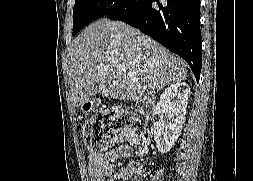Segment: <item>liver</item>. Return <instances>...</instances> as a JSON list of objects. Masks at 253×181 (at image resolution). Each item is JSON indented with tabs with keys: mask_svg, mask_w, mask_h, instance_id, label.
Masks as SVG:
<instances>
[{
	"mask_svg": "<svg viewBox=\"0 0 253 181\" xmlns=\"http://www.w3.org/2000/svg\"><path fill=\"white\" fill-rule=\"evenodd\" d=\"M69 83L74 105L99 94L141 101L162 88L182 82L187 64L179 56L120 21L99 19L73 41L68 53ZM123 65L125 73L117 67ZM128 72H134L133 77Z\"/></svg>",
	"mask_w": 253,
	"mask_h": 181,
	"instance_id": "liver-1",
	"label": "liver"
}]
</instances>
